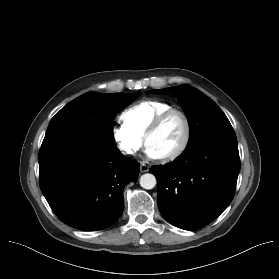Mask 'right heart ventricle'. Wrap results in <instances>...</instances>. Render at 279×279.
<instances>
[{
  "label": "right heart ventricle",
  "mask_w": 279,
  "mask_h": 279,
  "mask_svg": "<svg viewBox=\"0 0 279 279\" xmlns=\"http://www.w3.org/2000/svg\"><path fill=\"white\" fill-rule=\"evenodd\" d=\"M172 108L168 102L159 99H144L128 107L121 115L125 124L144 138L150 124L163 111Z\"/></svg>",
  "instance_id": "obj_1"
}]
</instances>
